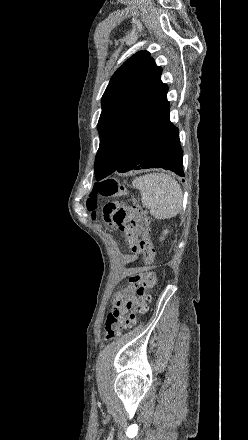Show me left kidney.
Returning a JSON list of instances; mask_svg holds the SVG:
<instances>
[{
  "instance_id": "1",
  "label": "left kidney",
  "mask_w": 248,
  "mask_h": 440,
  "mask_svg": "<svg viewBox=\"0 0 248 440\" xmlns=\"http://www.w3.org/2000/svg\"><path fill=\"white\" fill-rule=\"evenodd\" d=\"M166 234H168V231H167V230H165V231L163 232V237H161V240H164V236H165Z\"/></svg>"
}]
</instances>
